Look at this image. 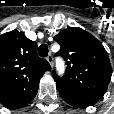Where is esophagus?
<instances>
[{
    "label": "esophagus",
    "mask_w": 114,
    "mask_h": 114,
    "mask_svg": "<svg viewBox=\"0 0 114 114\" xmlns=\"http://www.w3.org/2000/svg\"><path fill=\"white\" fill-rule=\"evenodd\" d=\"M47 61L50 64V66L53 67V57H52V55L47 56Z\"/></svg>",
    "instance_id": "obj_1"
}]
</instances>
